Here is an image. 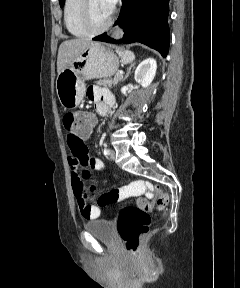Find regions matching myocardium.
<instances>
[{
  "instance_id": "1",
  "label": "myocardium",
  "mask_w": 240,
  "mask_h": 288,
  "mask_svg": "<svg viewBox=\"0 0 240 288\" xmlns=\"http://www.w3.org/2000/svg\"><path fill=\"white\" fill-rule=\"evenodd\" d=\"M80 22L82 27L90 34L101 33L107 30L112 22V16L101 26H94L91 22L90 18V10H89V0H82L81 8H80Z\"/></svg>"
}]
</instances>
